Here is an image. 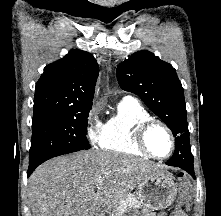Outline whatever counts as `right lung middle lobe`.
<instances>
[{"label":"right lung middle lobe","mask_w":221,"mask_h":216,"mask_svg":"<svg viewBox=\"0 0 221 216\" xmlns=\"http://www.w3.org/2000/svg\"><path fill=\"white\" fill-rule=\"evenodd\" d=\"M90 109L77 110L32 123L29 165L90 148L86 139Z\"/></svg>","instance_id":"right-lung-middle-lobe-1"}]
</instances>
